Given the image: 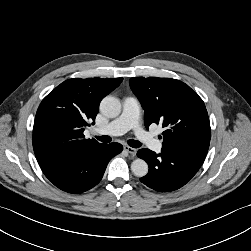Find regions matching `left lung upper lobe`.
<instances>
[{
	"label": "left lung upper lobe",
	"instance_id": "left-lung-upper-lobe-1",
	"mask_svg": "<svg viewBox=\"0 0 251 251\" xmlns=\"http://www.w3.org/2000/svg\"><path fill=\"white\" fill-rule=\"evenodd\" d=\"M144 109V123L161 124L163 147L206 156L211 137L203 100L187 84L170 78L137 77L129 80Z\"/></svg>",
	"mask_w": 251,
	"mask_h": 251
}]
</instances>
